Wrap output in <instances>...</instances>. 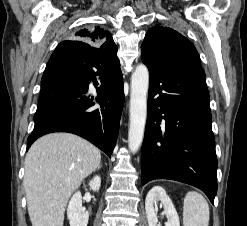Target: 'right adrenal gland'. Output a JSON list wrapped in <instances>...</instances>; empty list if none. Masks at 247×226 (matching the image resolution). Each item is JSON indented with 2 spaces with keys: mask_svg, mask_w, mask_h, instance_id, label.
Segmentation results:
<instances>
[{
  "mask_svg": "<svg viewBox=\"0 0 247 226\" xmlns=\"http://www.w3.org/2000/svg\"><path fill=\"white\" fill-rule=\"evenodd\" d=\"M101 167H102V165H99V166H98V170H99Z\"/></svg>",
  "mask_w": 247,
  "mask_h": 226,
  "instance_id": "2a0ac1e0",
  "label": "right adrenal gland"
}]
</instances>
